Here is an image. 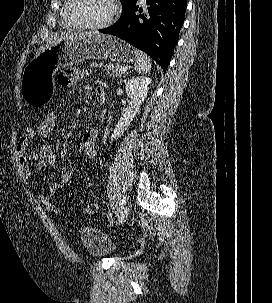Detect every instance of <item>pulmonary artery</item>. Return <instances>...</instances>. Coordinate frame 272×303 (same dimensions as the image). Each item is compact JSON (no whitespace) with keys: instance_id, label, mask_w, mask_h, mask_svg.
<instances>
[{"instance_id":"obj_1","label":"pulmonary artery","mask_w":272,"mask_h":303,"mask_svg":"<svg viewBox=\"0 0 272 303\" xmlns=\"http://www.w3.org/2000/svg\"><path fill=\"white\" fill-rule=\"evenodd\" d=\"M144 1H145V0H140V2H142V3H143Z\"/></svg>"}]
</instances>
